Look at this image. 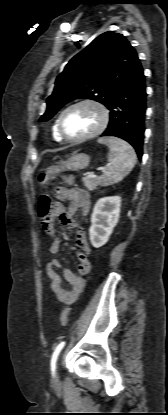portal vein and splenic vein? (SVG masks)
Returning <instances> with one entry per match:
<instances>
[{
    "instance_id": "18ae733b",
    "label": "portal vein and splenic vein",
    "mask_w": 168,
    "mask_h": 415,
    "mask_svg": "<svg viewBox=\"0 0 168 415\" xmlns=\"http://www.w3.org/2000/svg\"><path fill=\"white\" fill-rule=\"evenodd\" d=\"M99 170H101L102 172L105 171V168H100ZM88 177H96V174L94 172L89 173Z\"/></svg>"
}]
</instances>
